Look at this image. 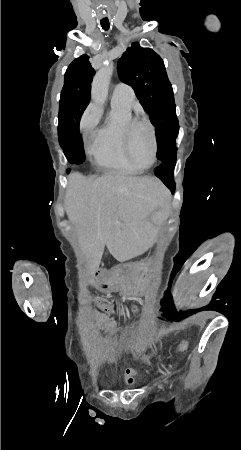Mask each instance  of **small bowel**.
Returning <instances> with one entry per match:
<instances>
[{"label":"small bowel","mask_w":241,"mask_h":450,"mask_svg":"<svg viewBox=\"0 0 241 450\" xmlns=\"http://www.w3.org/2000/svg\"><path fill=\"white\" fill-rule=\"evenodd\" d=\"M98 287L101 289V290H103V291H108V290H110V288H111V285H110V283H108V282H105V283H101V285H98ZM134 310L137 308L135 305L132 307ZM109 311H111L112 309L111 308H107ZM125 314V313H124ZM106 326H108L109 328L111 327V323L109 322V321H107V320H105V323H104ZM134 374V371L133 370H128V378H127V381L128 382H131V380H132V375Z\"/></svg>","instance_id":"small-bowel-1"}]
</instances>
